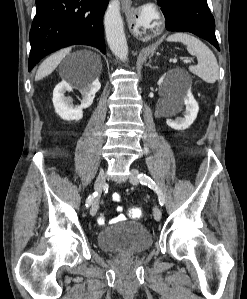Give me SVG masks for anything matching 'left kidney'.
Masks as SVG:
<instances>
[{
    "instance_id": "5707ae66",
    "label": "left kidney",
    "mask_w": 247,
    "mask_h": 299,
    "mask_svg": "<svg viewBox=\"0 0 247 299\" xmlns=\"http://www.w3.org/2000/svg\"><path fill=\"white\" fill-rule=\"evenodd\" d=\"M158 85L161 89L168 92V80H165V76L161 77L158 81ZM171 100L169 103V110L174 113L181 109L185 105L184 118H177L175 120L167 119L166 123L169 127L175 130H185L192 125L197 117L199 106L194 99L191 91L188 89L185 92H168Z\"/></svg>"
}]
</instances>
